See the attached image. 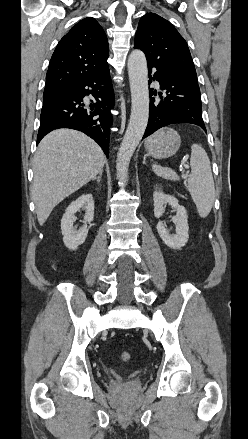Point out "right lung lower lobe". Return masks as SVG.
I'll return each instance as SVG.
<instances>
[{"label": "right lung lower lobe", "mask_w": 248, "mask_h": 439, "mask_svg": "<svg viewBox=\"0 0 248 439\" xmlns=\"http://www.w3.org/2000/svg\"><path fill=\"white\" fill-rule=\"evenodd\" d=\"M92 94L96 102L85 103L83 98ZM114 92L109 68L94 73L78 83L43 99L37 144L49 132L71 128L93 138L109 156L111 109Z\"/></svg>", "instance_id": "right-lung-lower-lobe-1"}]
</instances>
